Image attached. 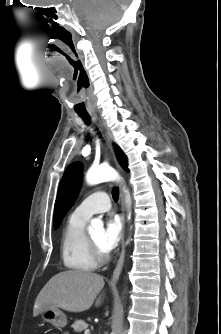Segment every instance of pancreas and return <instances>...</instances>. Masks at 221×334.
Returning <instances> with one entry per match:
<instances>
[{"label": "pancreas", "instance_id": "1", "mask_svg": "<svg viewBox=\"0 0 221 334\" xmlns=\"http://www.w3.org/2000/svg\"><path fill=\"white\" fill-rule=\"evenodd\" d=\"M75 332L81 333L88 328V324L83 320H76L72 325Z\"/></svg>", "mask_w": 221, "mask_h": 334}]
</instances>
